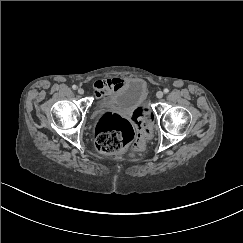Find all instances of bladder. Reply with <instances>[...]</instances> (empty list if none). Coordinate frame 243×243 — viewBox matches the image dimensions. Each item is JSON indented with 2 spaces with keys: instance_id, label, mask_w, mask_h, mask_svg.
<instances>
[{
  "instance_id": "bladder-1",
  "label": "bladder",
  "mask_w": 243,
  "mask_h": 243,
  "mask_svg": "<svg viewBox=\"0 0 243 243\" xmlns=\"http://www.w3.org/2000/svg\"><path fill=\"white\" fill-rule=\"evenodd\" d=\"M147 92V84L144 79L127 78L118 89L99 100L96 107L102 111L134 114L144 104Z\"/></svg>"
}]
</instances>
